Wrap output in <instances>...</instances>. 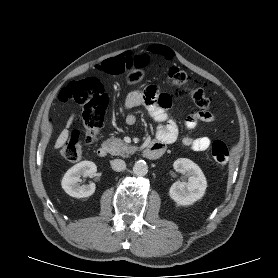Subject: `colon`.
I'll return each mask as SVG.
<instances>
[{"label":"colon","mask_w":278,"mask_h":278,"mask_svg":"<svg viewBox=\"0 0 278 278\" xmlns=\"http://www.w3.org/2000/svg\"><path fill=\"white\" fill-rule=\"evenodd\" d=\"M148 61L146 55H121L104 61L100 65V70L115 76L133 66H145ZM167 82L170 86L189 95L200 109L207 110L210 107L211 99L208 91L201 83L192 80L184 70L177 67L170 68ZM59 100L63 103L72 102L83 108L84 140L87 144L94 143L103 126L108 103L102 83L94 77L71 81L60 91ZM210 147L214 161L219 165H226L229 160V150L225 143L214 140ZM59 152L68 162L79 161L82 156L80 131H73L68 141L60 147Z\"/></svg>","instance_id":"1"}]
</instances>
